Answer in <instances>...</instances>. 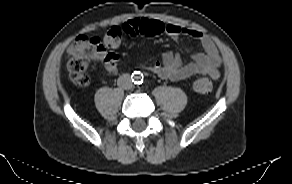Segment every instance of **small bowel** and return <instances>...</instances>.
Here are the masks:
<instances>
[{
    "label": "small bowel",
    "instance_id": "small-bowel-1",
    "mask_svg": "<svg viewBox=\"0 0 292 184\" xmlns=\"http://www.w3.org/2000/svg\"><path fill=\"white\" fill-rule=\"evenodd\" d=\"M145 20L147 19H130L123 23L120 28L124 34L135 37L142 34L141 28ZM159 22L163 26L164 34L173 39H178L180 35L189 36L199 42L201 50L192 55V60L189 63H184L178 54L165 52L162 55L161 61L145 66L148 71L158 75L162 79L171 81L183 80L196 74L209 75L212 78L219 77V68L222 59L215 43L208 35L196 29ZM93 59L101 62L109 74L114 75L117 73L119 56L116 53L102 51Z\"/></svg>",
    "mask_w": 292,
    "mask_h": 184
}]
</instances>
